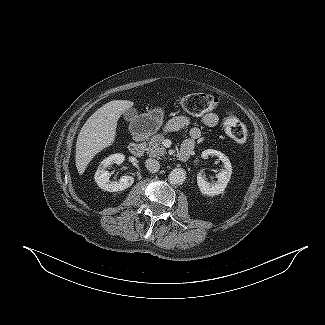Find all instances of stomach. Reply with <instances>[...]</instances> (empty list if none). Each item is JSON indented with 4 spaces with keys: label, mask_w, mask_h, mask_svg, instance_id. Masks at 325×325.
Listing matches in <instances>:
<instances>
[{
    "label": "stomach",
    "mask_w": 325,
    "mask_h": 325,
    "mask_svg": "<svg viewBox=\"0 0 325 325\" xmlns=\"http://www.w3.org/2000/svg\"><path fill=\"white\" fill-rule=\"evenodd\" d=\"M164 114L161 109H154L137 117L132 125L131 132L137 136H150L156 133L163 124Z\"/></svg>",
    "instance_id": "1"
}]
</instances>
